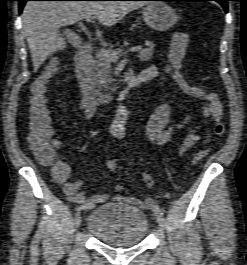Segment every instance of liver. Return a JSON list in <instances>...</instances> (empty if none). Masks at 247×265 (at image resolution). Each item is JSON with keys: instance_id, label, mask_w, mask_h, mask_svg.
<instances>
[{"instance_id": "6515ba94", "label": "liver", "mask_w": 247, "mask_h": 265, "mask_svg": "<svg viewBox=\"0 0 247 265\" xmlns=\"http://www.w3.org/2000/svg\"><path fill=\"white\" fill-rule=\"evenodd\" d=\"M141 1H28L22 14V30L30 49L34 71L51 54L66 47L61 26L94 15L111 27L127 13L144 6Z\"/></svg>"}]
</instances>
